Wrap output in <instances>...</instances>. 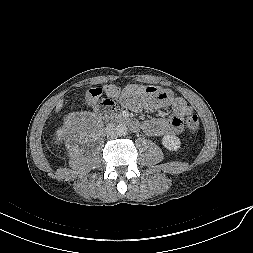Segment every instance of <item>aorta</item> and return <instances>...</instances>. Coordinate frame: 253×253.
<instances>
[{
	"label": "aorta",
	"mask_w": 253,
	"mask_h": 253,
	"mask_svg": "<svg viewBox=\"0 0 253 253\" xmlns=\"http://www.w3.org/2000/svg\"><path fill=\"white\" fill-rule=\"evenodd\" d=\"M114 131L117 136H125L128 132V128L124 124H118L115 126Z\"/></svg>",
	"instance_id": "762f6f07"
}]
</instances>
